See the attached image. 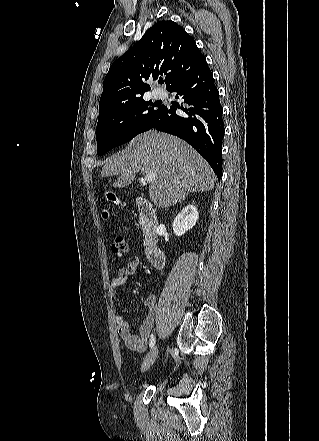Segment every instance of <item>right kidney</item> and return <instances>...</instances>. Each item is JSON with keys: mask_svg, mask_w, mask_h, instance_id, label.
<instances>
[{"mask_svg": "<svg viewBox=\"0 0 319 441\" xmlns=\"http://www.w3.org/2000/svg\"><path fill=\"white\" fill-rule=\"evenodd\" d=\"M199 214L197 208L193 204H188L176 216L173 221V232L176 236H182L188 230L192 229L198 220Z\"/></svg>", "mask_w": 319, "mask_h": 441, "instance_id": "ca27d5eb", "label": "right kidney"}]
</instances>
